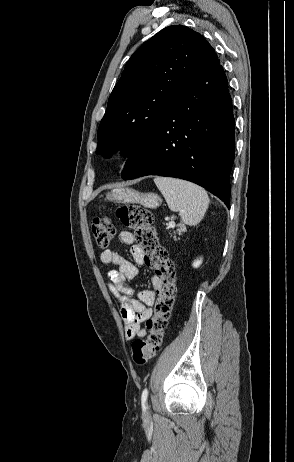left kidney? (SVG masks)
Listing matches in <instances>:
<instances>
[{"label":"left kidney","mask_w":294,"mask_h":462,"mask_svg":"<svg viewBox=\"0 0 294 462\" xmlns=\"http://www.w3.org/2000/svg\"><path fill=\"white\" fill-rule=\"evenodd\" d=\"M201 264H202V258H199V259L194 260L192 265L194 268H198Z\"/></svg>","instance_id":"left-kidney-1"}]
</instances>
